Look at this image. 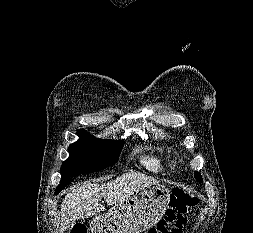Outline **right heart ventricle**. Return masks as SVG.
<instances>
[{"label": "right heart ventricle", "mask_w": 253, "mask_h": 233, "mask_svg": "<svg viewBox=\"0 0 253 233\" xmlns=\"http://www.w3.org/2000/svg\"><path fill=\"white\" fill-rule=\"evenodd\" d=\"M137 161L142 168L154 174L163 172L166 167L165 156L156 150L140 149Z\"/></svg>", "instance_id": "1"}]
</instances>
